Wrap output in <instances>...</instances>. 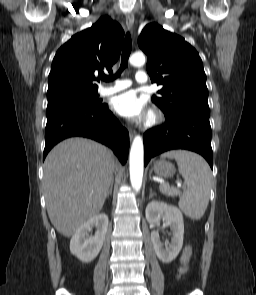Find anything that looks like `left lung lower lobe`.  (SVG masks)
Listing matches in <instances>:
<instances>
[{
  "label": "left lung lower lobe",
  "instance_id": "1",
  "mask_svg": "<svg viewBox=\"0 0 256 295\" xmlns=\"http://www.w3.org/2000/svg\"><path fill=\"white\" fill-rule=\"evenodd\" d=\"M186 149L201 154L213 168L209 117L183 112L144 133V165L165 151Z\"/></svg>",
  "mask_w": 256,
  "mask_h": 295
}]
</instances>
